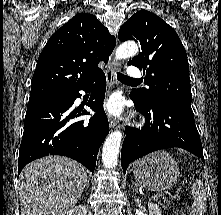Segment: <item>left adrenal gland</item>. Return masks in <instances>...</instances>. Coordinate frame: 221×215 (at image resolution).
I'll return each mask as SVG.
<instances>
[{"mask_svg": "<svg viewBox=\"0 0 221 215\" xmlns=\"http://www.w3.org/2000/svg\"><path fill=\"white\" fill-rule=\"evenodd\" d=\"M132 184H135V186H137V184H136V183H134L133 181H132Z\"/></svg>", "mask_w": 221, "mask_h": 215, "instance_id": "left-adrenal-gland-1", "label": "left adrenal gland"}]
</instances>
